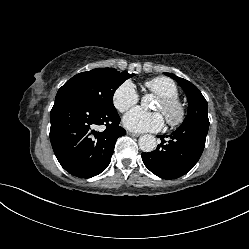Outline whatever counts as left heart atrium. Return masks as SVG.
Returning a JSON list of instances; mask_svg holds the SVG:
<instances>
[{
	"label": "left heart atrium",
	"mask_w": 249,
	"mask_h": 249,
	"mask_svg": "<svg viewBox=\"0 0 249 249\" xmlns=\"http://www.w3.org/2000/svg\"><path fill=\"white\" fill-rule=\"evenodd\" d=\"M124 126L135 132L157 131L164 125V118L159 112H146L134 108L123 118Z\"/></svg>",
	"instance_id": "obj_1"
}]
</instances>
